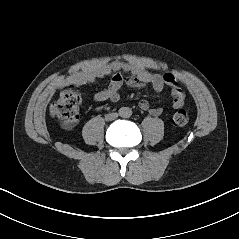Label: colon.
Wrapping results in <instances>:
<instances>
[{"label":"colon","instance_id":"5ec220e1","mask_svg":"<svg viewBox=\"0 0 239 239\" xmlns=\"http://www.w3.org/2000/svg\"><path fill=\"white\" fill-rule=\"evenodd\" d=\"M80 103V90L77 84L69 83L67 89L61 93L60 97L53 102L51 111L59 117L65 125H73L78 119ZM174 123L183 126L188 121L187 111L178 109L173 116Z\"/></svg>","mask_w":239,"mask_h":239}]
</instances>
